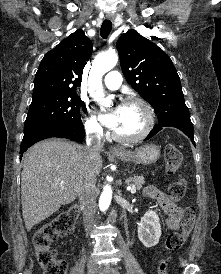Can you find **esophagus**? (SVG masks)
Here are the masks:
<instances>
[{"label": "esophagus", "mask_w": 221, "mask_h": 274, "mask_svg": "<svg viewBox=\"0 0 221 274\" xmlns=\"http://www.w3.org/2000/svg\"><path fill=\"white\" fill-rule=\"evenodd\" d=\"M106 18L108 19V20H112L113 18H114V15H112V14H107L106 15ZM121 150L118 148V147H116V146H112V147H110V152H112V153H119Z\"/></svg>", "instance_id": "34e87169"}]
</instances>
